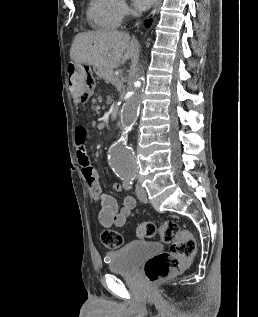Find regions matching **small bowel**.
<instances>
[{
	"label": "small bowel",
	"mask_w": 258,
	"mask_h": 317,
	"mask_svg": "<svg viewBox=\"0 0 258 317\" xmlns=\"http://www.w3.org/2000/svg\"><path fill=\"white\" fill-rule=\"evenodd\" d=\"M87 131L82 125L75 129L76 156L81 167L84 180L87 184L89 194L98 208V218L100 224L105 228L122 227L125 225L127 218L136 206L133 197H126L123 205L120 207L116 199L103 192L98 174L93 168L86 150ZM112 191L121 192L122 187L118 183H113Z\"/></svg>",
	"instance_id": "small-bowel-1"
}]
</instances>
